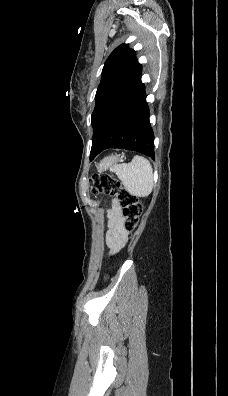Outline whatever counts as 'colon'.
<instances>
[{
	"label": "colon",
	"instance_id": "5ec220e1",
	"mask_svg": "<svg viewBox=\"0 0 228 396\" xmlns=\"http://www.w3.org/2000/svg\"><path fill=\"white\" fill-rule=\"evenodd\" d=\"M89 185L94 195L106 194L116 197L121 208L123 227L128 233L137 228L142 205L136 196L123 188L117 179L105 173L93 175L89 179Z\"/></svg>",
	"mask_w": 228,
	"mask_h": 396
}]
</instances>
